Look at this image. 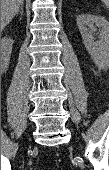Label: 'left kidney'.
<instances>
[{
	"instance_id": "5707ae66",
	"label": "left kidney",
	"mask_w": 109,
	"mask_h": 170,
	"mask_svg": "<svg viewBox=\"0 0 109 170\" xmlns=\"http://www.w3.org/2000/svg\"><path fill=\"white\" fill-rule=\"evenodd\" d=\"M77 25L86 50L94 63L101 68L109 64V22L102 16L83 13L77 16ZM99 28V41H94L93 32Z\"/></svg>"
}]
</instances>
